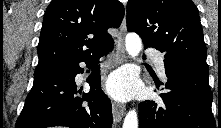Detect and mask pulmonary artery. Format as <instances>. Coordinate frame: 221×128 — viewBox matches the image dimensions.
I'll use <instances>...</instances> for the list:
<instances>
[{"label": "pulmonary artery", "instance_id": "e3ab8cb5", "mask_svg": "<svg viewBox=\"0 0 221 128\" xmlns=\"http://www.w3.org/2000/svg\"><path fill=\"white\" fill-rule=\"evenodd\" d=\"M147 55L154 61L157 70L162 75V77L165 78V65H164L163 56L154 50H149L147 52Z\"/></svg>", "mask_w": 221, "mask_h": 128}]
</instances>
